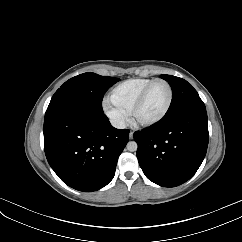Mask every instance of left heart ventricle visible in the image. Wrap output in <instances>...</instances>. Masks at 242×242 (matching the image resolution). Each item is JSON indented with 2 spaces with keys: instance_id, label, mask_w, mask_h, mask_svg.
I'll list each match as a JSON object with an SVG mask.
<instances>
[{
  "instance_id": "left-heart-ventricle-1",
  "label": "left heart ventricle",
  "mask_w": 242,
  "mask_h": 242,
  "mask_svg": "<svg viewBox=\"0 0 242 242\" xmlns=\"http://www.w3.org/2000/svg\"><path fill=\"white\" fill-rule=\"evenodd\" d=\"M169 99V90L166 84L156 83L137 112V119L150 121L157 118L165 109Z\"/></svg>"
}]
</instances>
